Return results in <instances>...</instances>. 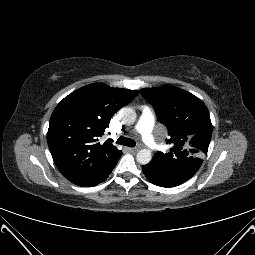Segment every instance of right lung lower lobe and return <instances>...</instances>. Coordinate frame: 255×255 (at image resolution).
Returning <instances> with one entry per match:
<instances>
[{"mask_svg":"<svg viewBox=\"0 0 255 255\" xmlns=\"http://www.w3.org/2000/svg\"><path fill=\"white\" fill-rule=\"evenodd\" d=\"M115 167V166H114ZM113 167V168H114ZM113 168L111 170H109L103 177H101L100 179H98L97 181H95L93 184H90L88 186H95L101 182H103L104 180H106V178L109 176V174L112 172Z\"/></svg>","mask_w":255,"mask_h":255,"instance_id":"98d812e1","label":"right lung lower lobe"}]
</instances>
